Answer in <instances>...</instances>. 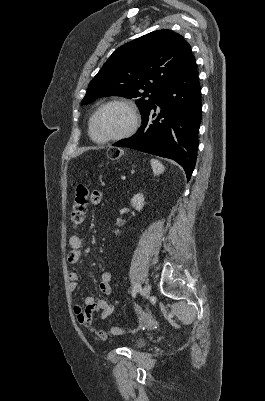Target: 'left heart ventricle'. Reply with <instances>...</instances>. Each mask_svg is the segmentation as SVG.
<instances>
[{
	"mask_svg": "<svg viewBox=\"0 0 265 401\" xmlns=\"http://www.w3.org/2000/svg\"><path fill=\"white\" fill-rule=\"evenodd\" d=\"M130 122V113L121 105L105 108L95 120L93 134L97 139H106L121 133Z\"/></svg>",
	"mask_w": 265,
	"mask_h": 401,
	"instance_id": "left-heart-ventricle-1",
	"label": "left heart ventricle"
}]
</instances>
